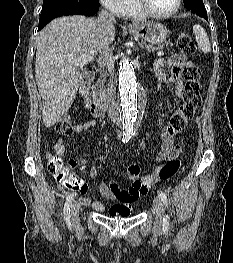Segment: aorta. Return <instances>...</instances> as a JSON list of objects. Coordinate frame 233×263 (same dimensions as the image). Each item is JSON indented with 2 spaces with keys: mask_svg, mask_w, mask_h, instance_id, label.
<instances>
[{
  "mask_svg": "<svg viewBox=\"0 0 233 263\" xmlns=\"http://www.w3.org/2000/svg\"><path fill=\"white\" fill-rule=\"evenodd\" d=\"M118 79L122 122L125 127L133 128L142 117L146 95L132 63L126 57L120 61Z\"/></svg>",
  "mask_w": 233,
  "mask_h": 263,
  "instance_id": "obj_1",
  "label": "aorta"
}]
</instances>
